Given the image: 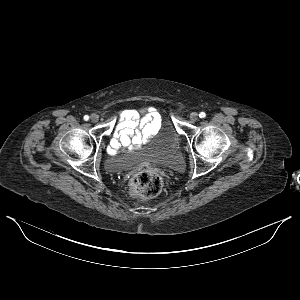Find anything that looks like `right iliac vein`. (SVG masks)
<instances>
[{
  "label": "right iliac vein",
  "mask_w": 300,
  "mask_h": 300,
  "mask_svg": "<svg viewBox=\"0 0 300 300\" xmlns=\"http://www.w3.org/2000/svg\"><path fill=\"white\" fill-rule=\"evenodd\" d=\"M90 120L93 122V123H96L99 121V116L97 114H92L90 116Z\"/></svg>",
  "instance_id": "63e3f726"
}]
</instances>
